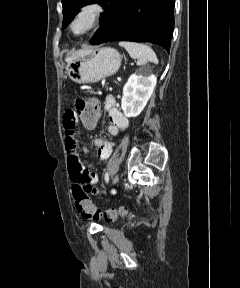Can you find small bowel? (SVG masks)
I'll use <instances>...</instances> for the list:
<instances>
[{"instance_id": "small-bowel-1", "label": "small bowel", "mask_w": 240, "mask_h": 288, "mask_svg": "<svg viewBox=\"0 0 240 288\" xmlns=\"http://www.w3.org/2000/svg\"><path fill=\"white\" fill-rule=\"evenodd\" d=\"M104 110L109 119L107 127L108 136L114 137L119 132L129 127L128 118L119 111L116 99L113 95H107L104 99ZM78 117L74 110H66L63 114L62 123L65 135L66 150L68 156V170L71 181L79 185L87 192L97 190L94 188L98 182V174L84 167L79 155V141L77 133ZM97 147V155L101 160H106L112 153L113 142L108 138H97L94 141Z\"/></svg>"}]
</instances>
